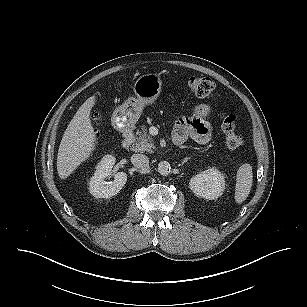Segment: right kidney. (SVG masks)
<instances>
[{"mask_svg":"<svg viewBox=\"0 0 307 307\" xmlns=\"http://www.w3.org/2000/svg\"><path fill=\"white\" fill-rule=\"evenodd\" d=\"M115 164V157L105 155L96 166L94 176L89 183V191L96 198H110L116 195L127 182V175L118 172L114 175V181L105 182V178L111 175V170Z\"/></svg>","mask_w":307,"mask_h":307,"instance_id":"right-kidney-1","label":"right kidney"}]
</instances>
